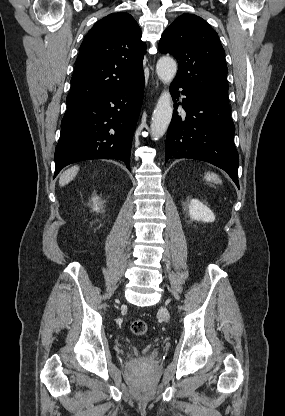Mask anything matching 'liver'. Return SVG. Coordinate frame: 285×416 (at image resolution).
Masks as SVG:
<instances>
[{"instance_id": "6515ba94", "label": "liver", "mask_w": 285, "mask_h": 416, "mask_svg": "<svg viewBox=\"0 0 285 416\" xmlns=\"http://www.w3.org/2000/svg\"><path fill=\"white\" fill-rule=\"evenodd\" d=\"M79 168H76V166H73V168H69V170H66V172H63L59 178V184L60 186H66V184H69V182H72L74 180L75 176H77Z\"/></svg>"}]
</instances>
